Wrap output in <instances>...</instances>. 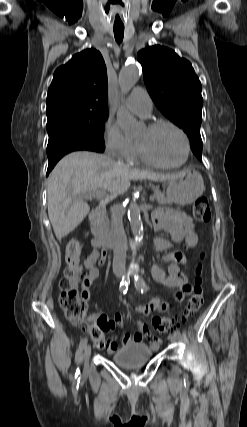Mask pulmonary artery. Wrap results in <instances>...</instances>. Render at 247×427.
Returning <instances> with one entry per match:
<instances>
[{"label": "pulmonary artery", "mask_w": 247, "mask_h": 427, "mask_svg": "<svg viewBox=\"0 0 247 427\" xmlns=\"http://www.w3.org/2000/svg\"><path fill=\"white\" fill-rule=\"evenodd\" d=\"M127 105L138 115L148 117L152 110V100L142 87H136L126 100Z\"/></svg>", "instance_id": "pulmonary-artery-1"}]
</instances>
